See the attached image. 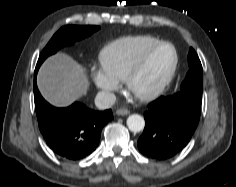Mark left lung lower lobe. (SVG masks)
Segmentation results:
<instances>
[{"label":"left lung lower lobe","mask_w":236,"mask_h":187,"mask_svg":"<svg viewBox=\"0 0 236 187\" xmlns=\"http://www.w3.org/2000/svg\"><path fill=\"white\" fill-rule=\"evenodd\" d=\"M201 103L182 94L160 97L144 113L145 128L138 139L140 152L152 159H169L181 151L196 130Z\"/></svg>","instance_id":"1"}]
</instances>
